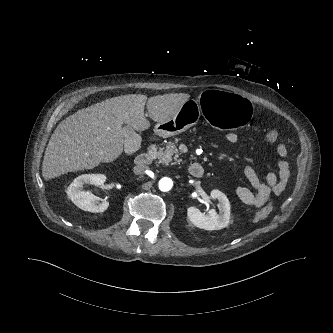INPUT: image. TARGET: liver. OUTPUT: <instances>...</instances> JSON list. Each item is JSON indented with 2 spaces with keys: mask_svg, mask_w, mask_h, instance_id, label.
Returning a JSON list of instances; mask_svg holds the SVG:
<instances>
[{
  "mask_svg": "<svg viewBox=\"0 0 333 333\" xmlns=\"http://www.w3.org/2000/svg\"><path fill=\"white\" fill-rule=\"evenodd\" d=\"M189 97L170 93L147 100L146 95L129 94L77 111L54 130L45 150L43 177L49 180L114 161L123 152V123L140 132L150 127L144 116L145 104L149 117L161 122L176 114Z\"/></svg>",
  "mask_w": 333,
  "mask_h": 333,
  "instance_id": "1",
  "label": "liver"
}]
</instances>
